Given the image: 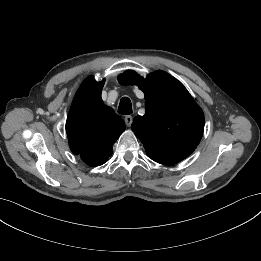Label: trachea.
Returning <instances> with one entry per match:
<instances>
[{
	"label": "trachea",
	"instance_id": "trachea-1",
	"mask_svg": "<svg viewBox=\"0 0 261 261\" xmlns=\"http://www.w3.org/2000/svg\"><path fill=\"white\" fill-rule=\"evenodd\" d=\"M118 113H120L122 115H129L132 113V105H131V101L128 97H123L120 100V104L118 107Z\"/></svg>",
	"mask_w": 261,
	"mask_h": 261
}]
</instances>
